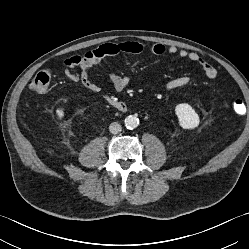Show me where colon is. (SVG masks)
I'll return each mask as SVG.
<instances>
[{
    "label": "colon",
    "instance_id": "1",
    "mask_svg": "<svg viewBox=\"0 0 249 249\" xmlns=\"http://www.w3.org/2000/svg\"><path fill=\"white\" fill-rule=\"evenodd\" d=\"M53 71L43 69L39 71L30 81L29 88L37 94H46L50 90ZM233 111L237 114L244 112L245 106L241 100H235L232 104Z\"/></svg>",
    "mask_w": 249,
    "mask_h": 249
}]
</instances>
